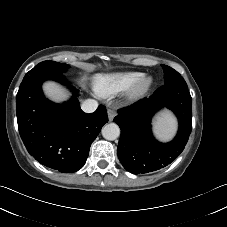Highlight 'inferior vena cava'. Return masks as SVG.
<instances>
[{
  "label": "inferior vena cava",
  "instance_id": "602c4592",
  "mask_svg": "<svg viewBox=\"0 0 227 227\" xmlns=\"http://www.w3.org/2000/svg\"><path fill=\"white\" fill-rule=\"evenodd\" d=\"M98 107V102L93 99H86L82 105L81 109L86 113H92L94 112Z\"/></svg>",
  "mask_w": 227,
  "mask_h": 227
}]
</instances>
